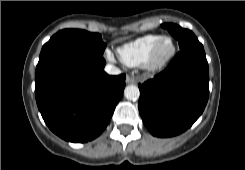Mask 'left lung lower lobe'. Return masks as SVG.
Returning <instances> with one entry per match:
<instances>
[{
    "mask_svg": "<svg viewBox=\"0 0 245 170\" xmlns=\"http://www.w3.org/2000/svg\"><path fill=\"white\" fill-rule=\"evenodd\" d=\"M139 89V112L152 135L172 137L185 132L208 101L205 53L181 50L164 71L139 84Z\"/></svg>",
    "mask_w": 245,
    "mask_h": 170,
    "instance_id": "1",
    "label": "left lung lower lobe"
}]
</instances>
